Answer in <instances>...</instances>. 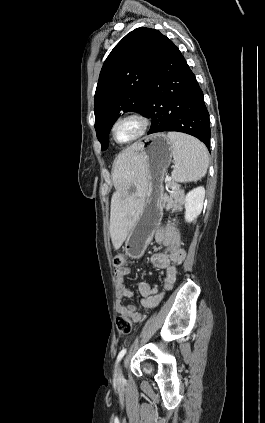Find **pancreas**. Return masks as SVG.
Returning <instances> with one entry per match:
<instances>
[{"label": "pancreas", "instance_id": "pancreas-1", "mask_svg": "<svg viewBox=\"0 0 265 423\" xmlns=\"http://www.w3.org/2000/svg\"><path fill=\"white\" fill-rule=\"evenodd\" d=\"M169 187L172 188V191L170 192L169 195L167 194L164 195L163 205L168 208H173V210H177L182 203L181 190L179 186H177L173 182L169 183Z\"/></svg>", "mask_w": 265, "mask_h": 423}]
</instances>
